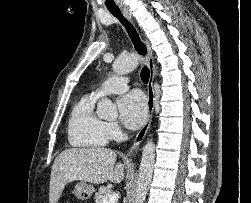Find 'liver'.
Masks as SVG:
<instances>
[{"label":"liver","instance_id":"obj_1","mask_svg":"<svg viewBox=\"0 0 251 203\" xmlns=\"http://www.w3.org/2000/svg\"><path fill=\"white\" fill-rule=\"evenodd\" d=\"M116 162V153L108 148H70L54 160L49 202L57 203L65 186L72 181L101 184L120 183L124 179V165Z\"/></svg>","mask_w":251,"mask_h":203}]
</instances>
